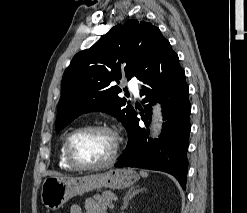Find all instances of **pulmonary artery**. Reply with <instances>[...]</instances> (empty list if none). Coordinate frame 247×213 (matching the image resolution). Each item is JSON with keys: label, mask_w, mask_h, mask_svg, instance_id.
<instances>
[{"label": "pulmonary artery", "mask_w": 247, "mask_h": 213, "mask_svg": "<svg viewBox=\"0 0 247 213\" xmlns=\"http://www.w3.org/2000/svg\"><path fill=\"white\" fill-rule=\"evenodd\" d=\"M128 88L129 90L135 95L138 96L139 95V90H138V86L137 84L133 81V80H129L128 83Z\"/></svg>", "instance_id": "1"}]
</instances>
